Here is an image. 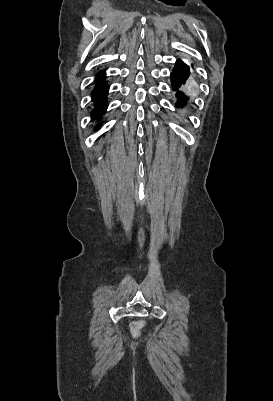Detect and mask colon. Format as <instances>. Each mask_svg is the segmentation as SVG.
<instances>
[{"instance_id": "obj_1", "label": "colon", "mask_w": 273, "mask_h": 401, "mask_svg": "<svg viewBox=\"0 0 273 401\" xmlns=\"http://www.w3.org/2000/svg\"><path fill=\"white\" fill-rule=\"evenodd\" d=\"M147 325L148 322L145 319H134L132 322L131 330L129 332L130 337H132L134 341H137L139 339L142 328L147 327Z\"/></svg>"}]
</instances>
